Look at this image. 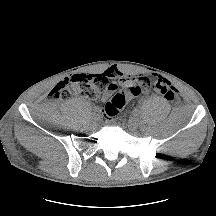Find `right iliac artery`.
Segmentation results:
<instances>
[{"label":"right iliac artery","instance_id":"obj_1","mask_svg":"<svg viewBox=\"0 0 216 216\" xmlns=\"http://www.w3.org/2000/svg\"><path fill=\"white\" fill-rule=\"evenodd\" d=\"M93 111H94V115L100 113V109L99 108H95Z\"/></svg>","mask_w":216,"mask_h":216}]
</instances>
